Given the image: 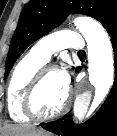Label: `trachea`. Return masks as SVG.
I'll return each mask as SVG.
<instances>
[{
    "instance_id": "1",
    "label": "trachea",
    "mask_w": 117,
    "mask_h": 136,
    "mask_svg": "<svg viewBox=\"0 0 117 136\" xmlns=\"http://www.w3.org/2000/svg\"><path fill=\"white\" fill-rule=\"evenodd\" d=\"M79 54H85V51L81 50V51H78Z\"/></svg>"
}]
</instances>
